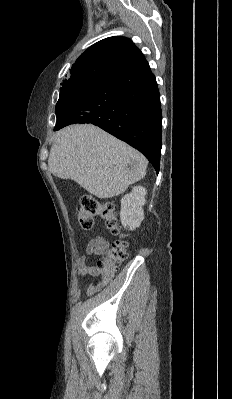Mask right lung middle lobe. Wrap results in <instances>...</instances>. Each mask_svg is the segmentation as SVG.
Wrapping results in <instances>:
<instances>
[{"label":"right lung middle lobe","mask_w":232,"mask_h":399,"mask_svg":"<svg viewBox=\"0 0 232 399\" xmlns=\"http://www.w3.org/2000/svg\"><path fill=\"white\" fill-rule=\"evenodd\" d=\"M102 81L103 79H98V78H80L68 81L65 84H63L59 100L55 108L56 116L58 117L60 109L63 107V105H65L69 101L79 98L85 92L94 88Z\"/></svg>","instance_id":"dd1d6c3e"}]
</instances>
